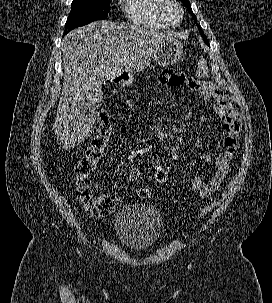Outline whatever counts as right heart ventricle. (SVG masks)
Instances as JSON below:
<instances>
[{"instance_id": "1", "label": "right heart ventricle", "mask_w": 272, "mask_h": 303, "mask_svg": "<svg viewBox=\"0 0 272 303\" xmlns=\"http://www.w3.org/2000/svg\"><path fill=\"white\" fill-rule=\"evenodd\" d=\"M163 0H124L127 18L135 25L153 29H166L168 25L160 16Z\"/></svg>"}]
</instances>
